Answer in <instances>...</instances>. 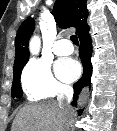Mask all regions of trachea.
I'll return each mask as SVG.
<instances>
[{
  "instance_id": "3493384b",
  "label": "trachea",
  "mask_w": 117,
  "mask_h": 131,
  "mask_svg": "<svg viewBox=\"0 0 117 131\" xmlns=\"http://www.w3.org/2000/svg\"><path fill=\"white\" fill-rule=\"evenodd\" d=\"M70 39H71V41H72L73 44L79 45L78 37L76 35H72L70 37Z\"/></svg>"
}]
</instances>
